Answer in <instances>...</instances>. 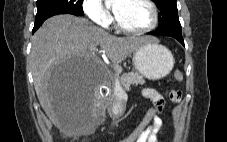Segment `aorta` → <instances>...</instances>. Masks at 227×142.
Returning <instances> with one entry per match:
<instances>
[{
	"instance_id": "aorta-1",
	"label": "aorta",
	"mask_w": 227,
	"mask_h": 142,
	"mask_svg": "<svg viewBox=\"0 0 227 142\" xmlns=\"http://www.w3.org/2000/svg\"><path fill=\"white\" fill-rule=\"evenodd\" d=\"M105 2H106V3H111V2H112V0H105Z\"/></svg>"
}]
</instances>
